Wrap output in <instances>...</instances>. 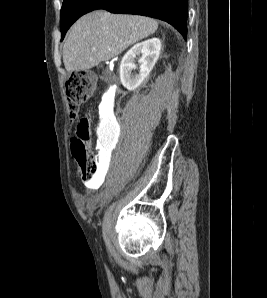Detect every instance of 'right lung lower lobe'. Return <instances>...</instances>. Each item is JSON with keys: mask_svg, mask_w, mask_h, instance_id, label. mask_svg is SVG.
<instances>
[{"mask_svg": "<svg viewBox=\"0 0 267 298\" xmlns=\"http://www.w3.org/2000/svg\"><path fill=\"white\" fill-rule=\"evenodd\" d=\"M97 9L157 18L171 24L184 38L187 36L188 0H97L90 11Z\"/></svg>", "mask_w": 267, "mask_h": 298, "instance_id": "1", "label": "right lung lower lobe"}]
</instances>
